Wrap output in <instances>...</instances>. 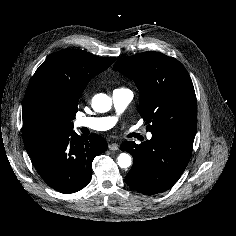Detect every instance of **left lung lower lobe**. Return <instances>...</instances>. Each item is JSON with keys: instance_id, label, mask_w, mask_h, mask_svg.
Masks as SVG:
<instances>
[{"instance_id": "1", "label": "left lung lower lobe", "mask_w": 236, "mask_h": 236, "mask_svg": "<svg viewBox=\"0 0 236 236\" xmlns=\"http://www.w3.org/2000/svg\"><path fill=\"white\" fill-rule=\"evenodd\" d=\"M194 136L181 133L152 134L151 140L120 146L133 156V165L125 181L132 189L153 195L169 189L185 170L193 147Z\"/></svg>"}]
</instances>
